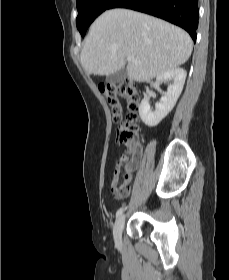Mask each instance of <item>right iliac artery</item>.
<instances>
[{"label":"right iliac artery","mask_w":229,"mask_h":280,"mask_svg":"<svg viewBox=\"0 0 229 280\" xmlns=\"http://www.w3.org/2000/svg\"><path fill=\"white\" fill-rule=\"evenodd\" d=\"M125 209L126 207H121L116 213V218L120 217Z\"/></svg>","instance_id":"right-iliac-artery-1"}]
</instances>
